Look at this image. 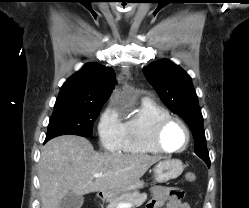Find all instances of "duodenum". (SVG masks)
<instances>
[{
  "mask_svg": "<svg viewBox=\"0 0 249 208\" xmlns=\"http://www.w3.org/2000/svg\"><path fill=\"white\" fill-rule=\"evenodd\" d=\"M99 198L105 199L106 198V193L105 192H100L99 193Z\"/></svg>",
  "mask_w": 249,
  "mask_h": 208,
  "instance_id": "duodenum-1",
  "label": "duodenum"
}]
</instances>
